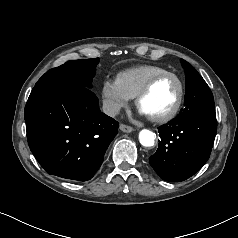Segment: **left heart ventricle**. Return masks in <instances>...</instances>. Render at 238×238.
<instances>
[{"label": "left heart ventricle", "instance_id": "b2bd125f", "mask_svg": "<svg viewBox=\"0 0 238 238\" xmlns=\"http://www.w3.org/2000/svg\"><path fill=\"white\" fill-rule=\"evenodd\" d=\"M179 86L173 77L157 81L150 92L141 100L139 108L147 116H158L168 112L176 102Z\"/></svg>", "mask_w": 238, "mask_h": 238}]
</instances>
